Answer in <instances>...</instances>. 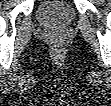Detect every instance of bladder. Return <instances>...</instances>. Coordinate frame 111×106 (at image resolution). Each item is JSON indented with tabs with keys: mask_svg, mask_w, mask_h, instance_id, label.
I'll return each instance as SVG.
<instances>
[{
	"mask_svg": "<svg viewBox=\"0 0 111 106\" xmlns=\"http://www.w3.org/2000/svg\"><path fill=\"white\" fill-rule=\"evenodd\" d=\"M40 23L46 27H65L73 22L76 12L74 7L66 1H44L37 9Z\"/></svg>",
	"mask_w": 111,
	"mask_h": 106,
	"instance_id": "1",
	"label": "bladder"
}]
</instances>
